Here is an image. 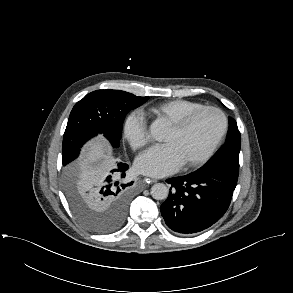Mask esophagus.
I'll use <instances>...</instances> for the list:
<instances>
[{
    "mask_svg": "<svg viewBox=\"0 0 293 293\" xmlns=\"http://www.w3.org/2000/svg\"><path fill=\"white\" fill-rule=\"evenodd\" d=\"M146 182H151V183H156L158 180L156 179H150V178H145Z\"/></svg>",
    "mask_w": 293,
    "mask_h": 293,
    "instance_id": "34e87169",
    "label": "esophagus"
}]
</instances>
